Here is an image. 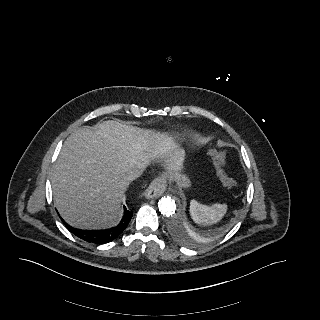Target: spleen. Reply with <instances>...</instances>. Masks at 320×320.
Returning a JSON list of instances; mask_svg holds the SVG:
<instances>
[{
    "label": "spleen",
    "mask_w": 320,
    "mask_h": 320,
    "mask_svg": "<svg viewBox=\"0 0 320 320\" xmlns=\"http://www.w3.org/2000/svg\"><path fill=\"white\" fill-rule=\"evenodd\" d=\"M227 212V204L215 203L210 206L196 200L190 203V215L200 225H212L220 221Z\"/></svg>",
    "instance_id": "1"
}]
</instances>
